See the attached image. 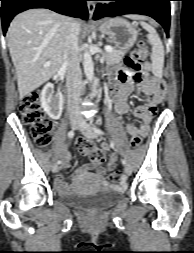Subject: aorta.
Returning a JSON list of instances; mask_svg holds the SVG:
<instances>
[{
	"label": "aorta",
	"mask_w": 194,
	"mask_h": 253,
	"mask_svg": "<svg viewBox=\"0 0 194 253\" xmlns=\"http://www.w3.org/2000/svg\"><path fill=\"white\" fill-rule=\"evenodd\" d=\"M83 68L84 73L89 81H92L94 78V66L92 57L89 52H85L83 55Z\"/></svg>",
	"instance_id": "aorta-1"
}]
</instances>
